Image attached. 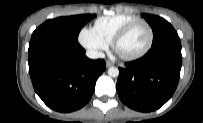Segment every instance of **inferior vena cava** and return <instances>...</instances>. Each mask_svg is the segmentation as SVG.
<instances>
[{"label":"inferior vena cava","instance_id":"obj_1","mask_svg":"<svg viewBox=\"0 0 203 123\" xmlns=\"http://www.w3.org/2000/svg\"><path fill=\"white\" fill-rule=\"evenodd\" d=\"M86 56L90 59L104 58L105 54L97 50H87Z\"/></svg>","mask_w":203,"mask_h":123}]
</instances>
